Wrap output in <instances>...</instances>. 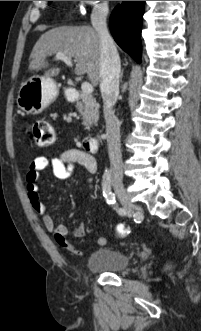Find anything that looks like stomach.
Returning a JSON list of instances; mask_svg holds the SVG:
<instances>
[{"label":"stomach","mask_w":201,"mask_h":331,"mask_svg":"<svg viewBox=\"0 0 201 331\" xmlns=\"http://www.w3.org/2000/svg\"><path fill=\"white\" fill-rule=\"evenodd\" d=\"M58 93L57 84L51 77L33 76L21 85L17 105L27 114L37 115L57 98Z\"/></svg>","instance_id":"1"}]
</instances>
